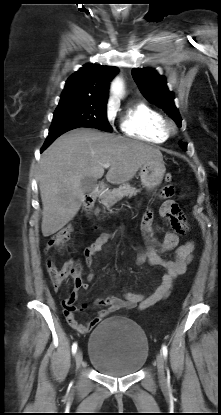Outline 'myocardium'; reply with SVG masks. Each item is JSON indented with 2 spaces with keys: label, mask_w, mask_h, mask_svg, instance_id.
<instances>
[{
  "label": "myocardium",
  "mask_w": 221,
  "mask_h": 415,
  "mask_svg": "<svg viewBox=\"0 0 221 415\" xmlns=\"http://www.w3.org/2000/svg\"><path fill=\"white\" fill-rule=\"evenodd\" d=\"M163 127L168 134H172L176 130L175 123L169 119L164 120Z\"/></svg>",
  "instance_id": "obj_1"
}]
</instances>
